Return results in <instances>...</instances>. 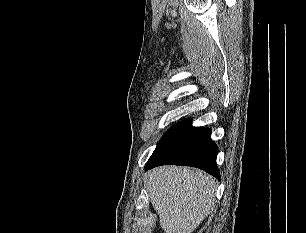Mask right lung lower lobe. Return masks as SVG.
Here are the masks:
<instances>
[{"mask_svg": "<svg viewBox=\"0 0 306 233\" xmlns=\"http://www.w3.org/2000/svg\"><path fill=\"white\" fill-rule=\"evenodd\" d=\"M209 128L189 126L163 152L149 161L146 170L160 165H185L205 170L220 179L216 164L217 145L211 140Z\"/></svg>", "mask_w": 306, "mask_h": 233, "instance_id": "98d812e1", "label": "right lung lower lobe"}]
</instances>
